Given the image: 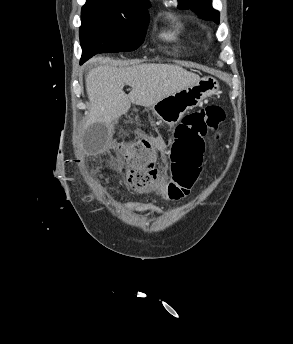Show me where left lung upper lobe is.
Segmentation results:
<instances>
[{"label": "left lung upper lobe", "mask_w": 293, "mask_h": 344, "mask_svg": "<svg viewBox=\"0 0 293 344\" xmlns=\"http://www.w3.org/2000/svg\"><path fill=\"white\" fill-rule=\"evenodd\" d=\"M179 9H191L200 17L219 23V12L212 8L211 0H178Z\"/></svg>", "instance_id": "left-lung-upper-lobe-1"}]
</instances>
